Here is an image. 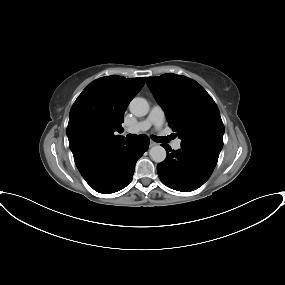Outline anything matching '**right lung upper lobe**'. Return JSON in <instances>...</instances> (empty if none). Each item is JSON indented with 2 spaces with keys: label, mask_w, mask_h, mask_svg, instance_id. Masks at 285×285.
<instances>
[{
  "label": "right lung upper lobe",
  "mask_w": 285,
  "mask_h": 285,
  "mask_svg": "<svg viewBox=\"0 0 285 285\" xmlns=\"http://www.w3.org/2000/svg\"><path fill=\"white\" fill-rule=\"evenodd\" d=\"M145 83L144 77L105 76L90 83L74 102L67 126L74 160L123 139L124 112Z\"/></svg>",
  "instance_id": "1"
}]
</instances>
